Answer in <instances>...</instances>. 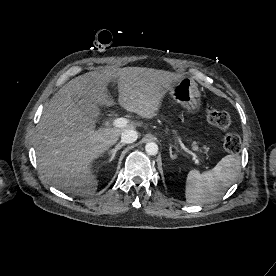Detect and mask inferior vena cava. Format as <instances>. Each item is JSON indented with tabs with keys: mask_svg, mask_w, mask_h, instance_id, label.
<instances>
[{
	"mask_svg": "<svg viewBox=\"0 0 276 276\" xmlns=\"http://www.w3.org/2000/svg\"><path fill=\"white\" fill-rule=\"evenodd\" d=\"M138 138V133L137 131L133 129H128L122 132L121 134V142L123 143H133L137 140Z\"/></svg>",
	"mask_w": 276,
	"mask_h": 276,
	"instance_id": "602c4592",
	"label": "inferior vena cava"
}]
</instances>
